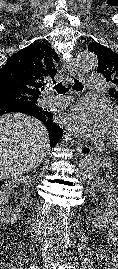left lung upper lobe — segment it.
Masks as SVG:
<instances>
[{"instance_id": "obj_1", "label": "left lung upper lobe", "mask_w": 118, "mask_h": 269, "mask_svg": "<svg viewBox=\"0 0 118 269\" xmlns=\"http://www.w3.org/2000/svg\"><path fill=\"white\" fill-rule=\"evenodd\" d=\"M88 51L97 55L99 59L97 72L103 74L106 81L112 83L113 87L109 92L118 99V54L97 42H92L88 46Z\"/></svg>"}]
</instances>
